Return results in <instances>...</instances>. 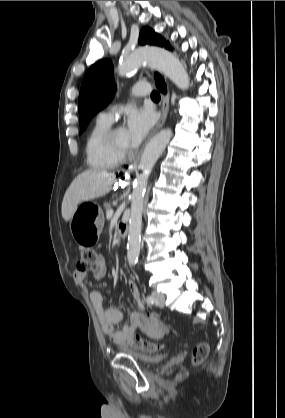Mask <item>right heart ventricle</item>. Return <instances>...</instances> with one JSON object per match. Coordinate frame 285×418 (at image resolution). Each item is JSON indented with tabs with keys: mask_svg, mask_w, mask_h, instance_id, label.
I'll use <instances>...</instances> for the list:
<instances>
[{
	"mask_svg": "<svg viewBox=\"0 0 285 418\" xmlns=\"http://www.w3.org/2000/svg\"><path fill=\"white\" fill-rule=\"evenodd\" d=\"M109 125V120L99 116L86 135L85 156L87 164L92 170L100 171L110 169L121 162V159L110 155L101 143V136Z\"/></svg>",
	"mask_w": 285,
	"mask_h": 418,
	"instance_id": "obj_1",
	"label": "right heart ventricle"
}]
</instances>
